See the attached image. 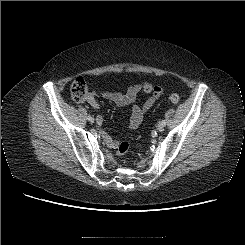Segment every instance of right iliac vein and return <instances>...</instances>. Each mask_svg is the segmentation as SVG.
Listing matches in <instances>:
<instances>
[{"instance_id": "obj_1", "label": "right iliac vein", "mask_w": 245, "mask_h": 245, "mask_svg": "<svg viewBox=\"0 0 245 245\" xmlns=\"http://www.w3.org/2000/svg\"><path fill=\"white\" fill-rule=\"evenodd\" d=\"M88 119V118H87ZM88 121L90 122V123H93L94 122V118L93 117H90L89 119H88Z\"/></svg>"}]
</instances>
